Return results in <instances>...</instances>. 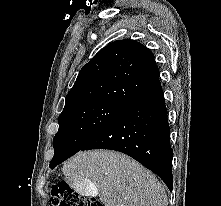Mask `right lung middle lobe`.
Wrapping results in <instances>:
<instances>
[{
  "mask_svg": "<svg viewBox=\"0 0 221 206\" xmlns=\"http://www.w3.org/2000/svg\"><path fill=\"white\" fill-rule=\"evenodd\" d=\"M125 107L94 103L64 111L58 118L59 129L54 137L55 154L50 162L53 169L65 161L110 124Z\"/></svg>",
  "mask_w": 221,
  "mask_h": 206,
  "instance_id": "dd1d6c3e",
  "label": "right lung middle lobe"
}]
</instances>
